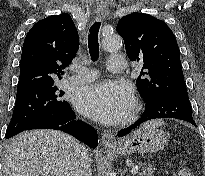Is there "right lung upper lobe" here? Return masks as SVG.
<instances>
[{
	"label": "right lung upper lobe",
	"instance_id": "right-lung-upper-lobe-1",
	"mask_svg": "<svg viewBox=\"0 0 205 176\" xmlns=\"http://www.w3.org/2000/svg\"><path fill=\"white\" fill-rule=\"evenodd\" d=\"M78 45V32L69 14L53 15L37 22L23 44L17 95L55 86Z\"/></svg>",
	"mask_w": 205,
	"mask_h": 176
}]
</instances>
